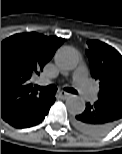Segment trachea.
Returning a JSON list of instances; mask_svg holds the SVG:
<instances>
[{
  "mask_svg": "<svg viewBox=\"0 0 122 154\" xmlns=\"http://www.w3.org/2000/svg\"><path fill=\"white\" fill-rule=\"evenodd\" d=\"M36 88L42 91H47V92H55L57 90V87L55 85H49L46 87L36 86ZM64 90H66L67 92L73 93V94H77V91L73 88L66 87L64 88Z\"/></svg>",
  "mask_w": 122,
  "mask_h": 154,
  "instance_id": "1",
  "label": "trachea"
}]
</instances>
